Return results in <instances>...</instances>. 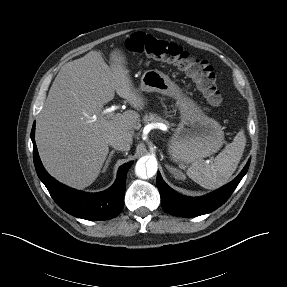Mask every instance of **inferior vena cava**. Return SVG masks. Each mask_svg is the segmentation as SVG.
I'll list each match as a JSON object with an SVG mask.
<instances>
[{
	"mask_svg": "<svg viewBox=\"0 0 287 287\" xmlns=\"http://www.w3.org/2000/svg\"><path fill=\"white\" fill-rule=\"evenodd\" d=\"M109 145L112 146L114 149L119 151H129L130 144L127 143L124 139L119 137H112L109 140Z\"/></svg>",
	"mask_w": 287,
	"mask_h": 287,
	"instance_id": "obj_1",
	"label": "inferior vena cava"
}]
</instances>
